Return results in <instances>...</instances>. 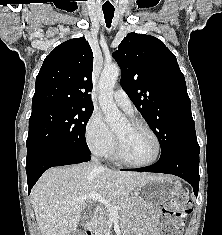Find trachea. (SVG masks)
Returning <instances> with one entry per match:
<instances>
[{
	"instance_id": "3493384b",
	"label": "trachea",
	"mask_w": 222,
	"mask_h": 235,
	"mask_svg": "<svg viewBox=\"0 0 222 235\" xmlns=\"http://www.w3.org/2000/svg\"><path fill=\"white\" fill-rule=\"evenodd\" d=\"M105 18V23L108 28L111 27L112 19L114 17V8H102Z\"/></svg>"
}]
</instances>
